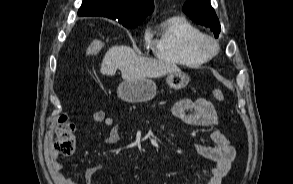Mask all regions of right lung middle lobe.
<instances>
[{
    "mask_svg": "<svg viewBox=\"0 0 293 184\" xmlns=\"http://www.w3.org/2000/svg\"><path fill=\"white\" fill-rule=\"evenodd\" d=\"M142 21H136V22H127V23H121L126 28H135L138 26Z\"/></svg>",
    "mask_w": 293,
    "mask_h": 184,
    "instance_id": "dd1d6c3e",
    "label": "right lung middle lobe"
}]
</instances>
